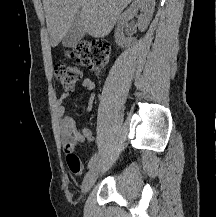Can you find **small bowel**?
<instances>
[{
    "label": "small bowel",
    "mask_w": 216,
    "mask_h": 217,
    "mask_svg": "<svg viewBox=\"0 0 216 217\" xmlns=\"http://www.w3.org/2000/svg\"><path fill=\"white\" fill-rule=\"evenodd\" d=\"M81 86L89 92L88 107L90 108L95 99V83L86 78L82 81ZM70 91L63 92L57 99V112L60 119L59 131L65 151H73L77 144L95 141V137L89 128L78 130L75 120L67 115L64 102L70 97Z\"/></svg>",
    "instance_id": "obj_1"
}]
</instances>
